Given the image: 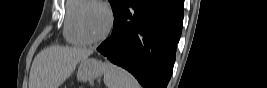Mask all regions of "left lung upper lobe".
Wrapping results in <instances>:
<instances>
[{
  "instance_id": "left-lung-upper-lobe-1",
  "label": "left lung upper lobe",
  "mask_w": 267,
  "mask_h": 88,
  "mask_svg": "<svg viewBox=\"0 0 267 88\" xmlns=\"http://www.w3.org/2000/svg\"><path fill=\"white\" fill-rule=\"evenodd\" d=\"M127 1L128 0H109L113 10L114 18L118 16Z\"/></svg>"
}]
</instances>
